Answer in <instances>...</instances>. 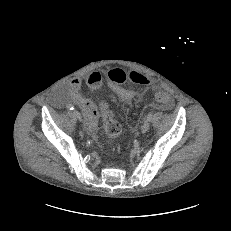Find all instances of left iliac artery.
<instances>
[{"mask_svg":"<svg viewBox=\"0 0 231 231\" xmlns=\"http://www.w3.org/2000/svg\"><path fill=\"white\" fill-rule=\"evenodd\" d=\"M151 119H152V113H148V115H147V120H148V121H151Z\"/></svg>","mask_w":231,"mask_h":231,"instance_id":"left-iliac-artery-1","label":"left iliac artery"}]
</instances>
